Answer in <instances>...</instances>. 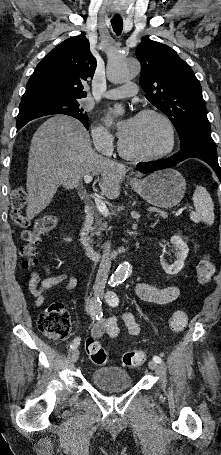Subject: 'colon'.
Returning a JSON list of instances; mask_svg holds the SVG:
<instances>
[{
    "label": "colon",
    "instance_id": "1",
    "mask_svg": "<svg viewBox=\"0 0 221 455\" xmlns=\"http://www.w3.org/2000/svg\"><path fill=\"white\" fill-rule=\"evenodd\" d=\"M27 201L26 190L22 186L13 189L10 195L11 219L23 229L22 237L24 245L21 248L23 256V267L31 270L37 263V246L42 237L57 225V217L53 214H46L37 218L32 225L23 213V208ZM214 273L212 262L208 258H203L197 263L196 277L199 284L210 282ZM186 314L184 311H176L168 320L169 329L173 332H180L186 326ZM38 328L48 338L56 341L65 340L71 330L69 313L63 303L55 302L49 305L38 317ZM87 355L96 365H103L107 361L105 349L94 337H89L85 343ZM146 360V355L141 351L126 352L122 361L127 367L134 368L142 365Z\"/></svg>",
    "mask_w": 221,
    "mask_h": 455
}]
</instances>
